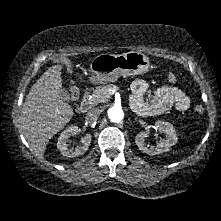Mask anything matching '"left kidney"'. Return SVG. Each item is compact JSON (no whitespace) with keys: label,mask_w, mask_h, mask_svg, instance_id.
<instances>
[{"label":"left kidney","mask_w":221,"mask_h":221,"mask_svg":"<svg viewBox=\"0 0 221 221\" xmlns=\"http://www.w3.org/2000/svg\"><path fill=\"white\" fill-rule=\"evenodd\" d=\"M155 125L160 132H163L166 135V139L158 143L156 147H148L145 145V138L148 136V134L145 132H141L135 137V142L139 150L149 155H156L168 152L170 148L177 142V135L171 123L159 120L156 122Z\"/></svg>","instance_id":"obj_1"}]
</instances>
